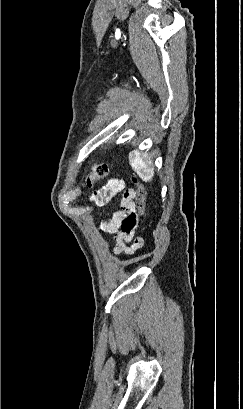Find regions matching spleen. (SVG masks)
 <instances>
[{
  "mask_svg": "<svg viewBox=\"0 0 243 409\" xmlns=\"http://www.w3.org/2000/svg\"><path fill=\"white\" fill-rule=\"evenodd\" d=\"M129 163L143 181L149 182L152 180L154 176L153 164L151 161L143 159L139 152L133 151L129 153Z\"/></svg>",
  "mask_w": 243,
  "mask_h": 409,
  "instance_id": "obj_1",
  "label": "spleen"
}]
</instances>
